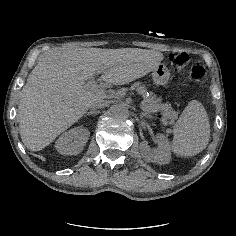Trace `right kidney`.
<instances>
[{
  "label": "right kidney",
  "mask_w": 236,
  "mask_h": 236,
  "mask_svg": "<svg viewBox=\"0 0 236 236\" xmlns=\"http://www.w3.org/2000/svg\"><path fill=\"white\" fill-rule=\"evenodd\" d=\"M89 136V130L81 126L70 129L56 140V150L62 155H77L83 150Z\"/></svg>",
  "instance_id": "ca27d5eb"
}]
</instances>
